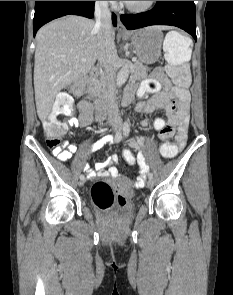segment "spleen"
<instances>
[{
	"mask_svg": "<svg viewBox=\"0 0 233 295\" xmlns=\"http://www.w3.org/2000/svg\"><path fill=\"white\" fill-rule=\"evenodd\" d=\"M191 44L190 38L177 31L169 32L163 43L166 61L174 65L189 61L192 53Z\"/></svg>",
	"mask_w": 233,
	"mask_h": 295,
	"instance_id": "1",
	"label": "spleen"
}]
</instances>
